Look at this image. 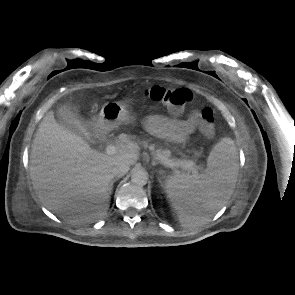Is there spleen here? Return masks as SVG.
Instances as JSON below:
<instances>
[{
    "mask_svg": "<svg viewBox=\"0 0 295 295\" xmlns=\"http://www.w3.org/2000/svg\"><path fill=\"white\" fill-rule=\"evenodd\" d=\"M233 140L223 138L211 150L206 170L199 175L178 173L166 180V193L184 227L198 226L231 197L238 176Z\"/></svg>",
    "mask_w": 295,
    "mask_h": 295,
    "instance_id": "3e777b00",
    "label": "spleen"
}]
</instances>
